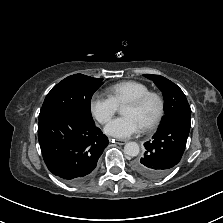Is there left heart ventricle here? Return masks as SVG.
Masks as SVG:
<instances>
[{
	"mask_svg": "<svg viewBox=\"0 0 223 223\" xmlns=\"http://www.w3.org/2000/svg\"><path fill=\"white\" fill-rule=\"evenodd\" d=\"M158 109V100L154 97H151L142 106L139 107L126 105L123 109V115L134 117L142 127L153 120L158 112Z\"/></svg>",
	"mask_w": 223,
	"mask_h": 223,
	"instance_id": "1",
	"label": "left heart ventricle"
}]
</instances>
